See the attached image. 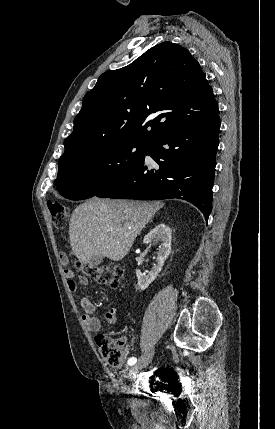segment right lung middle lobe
<instances>
[{"label": "right lung middle lobe", "mask_w": 275, "mask_h": 429, "mask_svg": "<svg viewBox=\"0 0 275 429\" xmlns=\"http://www.w3.org/2000/svg\"><path fill=\"white\" fill-rule=\"evenodd\" d=\"M148 143H119L59 165L55 185L71 200L96 196L140 164Z\"/></svg>", "instance_id": "right-lung-middle-lobe-1"}]
</instances>
